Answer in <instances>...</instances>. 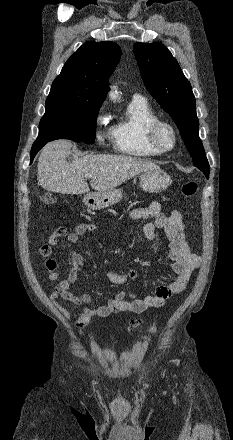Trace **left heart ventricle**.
I'll return each mask as SVG.
<instances>
[{
    "label": "left heart ventricle",
    "instance_id": "obj_1",
    "mask_svg": "<svg viewBox=\"0 0 233 440\" xmlns=\"http://www.w3.org/2000/svg\"><path fill=\"white\" fill-rule=\"evenodd\" d=\"M159 141L165 147H170L172 145V135L168 129L163 128L160 131Z\"/></svg>",
    "mask_w": 233,
    "mask_h": 440
}]
</instances>
